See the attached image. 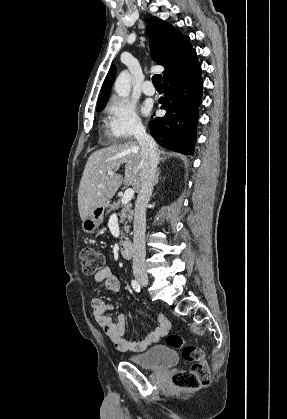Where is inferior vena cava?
I'll return each mask as SVG.
<instances>
[{
  "mask_svg": "<svg viewBox=\"0 0 287 419\" xmlns=\"http://www.w3.org/2000/svg\"><path fill=\"white\" fill-rule=\"evenodd\" d=\"M135 138L141 147L142 153V182L135 203L133 223V274L135 277H146L145 268V231H146V208L153 192L158 153L153 138L146 133L145 128L138 126Z\"/></svg>",
  "mask_w": 287,
  "mask_h": 419,
  "instance_id": "602c4592",
  "label": "inferior vena cava"
}]
</instances>
